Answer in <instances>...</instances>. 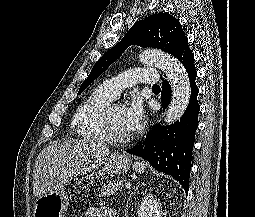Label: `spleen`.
<instances>
[{
    "label": "spleen",
    "instance_id": "spleen-1",
    "mask_svg": "<svg viewBox=\"0 0 255 217\" xmlns=\"http://www.w3.org/2000/svg\"><path fill=\"white\" fill-rule=\"evenodd\" d=\"M133 167L135 171L139 173H144L146 169L145 164L143 162H136Z\"/></svg>",
    "mask_w": 255,
    "mask_h": 217
}]
</instances>
